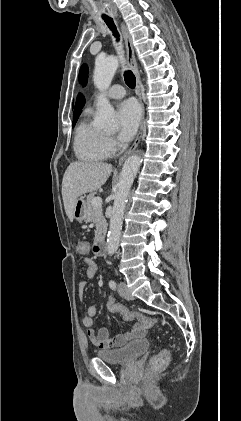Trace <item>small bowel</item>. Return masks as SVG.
Instances as JSON below:
<instances>
[{
	"label": "small bowel",
	"instance_id": "small-bowel-1",
	"mask_svg": "<svg viewBox=\"0 0 241 421\" xmlns=\"http://www.w3.org/2000/svg\"><path fill=\"white\" fill-rule=\"evenodd\" d=\"M86 263V274L88 278L95 277L98 266L96 262L90 258H84ZM86 290V282L81 281L78 284L77 293L79 298H83L84 293ZM97 309L94 305L88 306L86 310V315L82 318V324L86 328V333L91 341L96 347L101 349H111L117 348L125 345L127 342L132 341L134 339L142 338L146 335L148 326L136 323L133 328L125 333L117 334L114 337L110 336L109 330L105 327H101L97 330L93 328V319L96 315Z\"/></svg>",
	"mask_w": 241,
	"mask_h": 421
}]
</instances>
